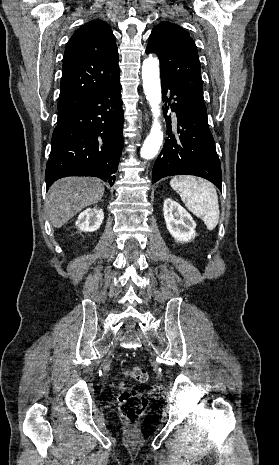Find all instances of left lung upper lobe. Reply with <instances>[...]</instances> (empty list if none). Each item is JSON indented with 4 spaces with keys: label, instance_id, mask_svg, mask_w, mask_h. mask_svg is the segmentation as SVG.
<instances>
[{
    "label": "left lung upper lobe",
    "instance_id": "left-lung-upper-lobe-1",
    "mask_svg": "<svg viewBox=\"0 0 279 465\" xmlns=\"http://www.w3.org/2000/svg\"><path fill=\"white\" fill-rule=\"evenodd\" d=\"M153 52L160 60L161 79L207 112L198 52L188 32L174 23L161 22L149 36L146 53Z\"/></svg>",
    "mask_w": 279,
    "mask_h": 465
}]
</instances>
